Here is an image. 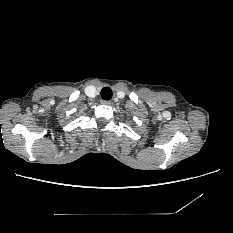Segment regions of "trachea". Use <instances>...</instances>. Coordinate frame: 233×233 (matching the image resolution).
I'll return each instance as SVG.
<instances>
[{"mask_svg":"<svg viewBox=\"0 0 233 233\" xmlns=\"http://www.w3.org/2000/svg\"><path fill=\"white\" fill-rule=\"evenodd\" d=\"M112 90L109 88V87H104L102 90H101V98L103 100H110L112 98Z\"/></svg>","mask_w":233,"mask_h":233,"instance_id":"trachea-1","label":"trachea"}]
</instances>
